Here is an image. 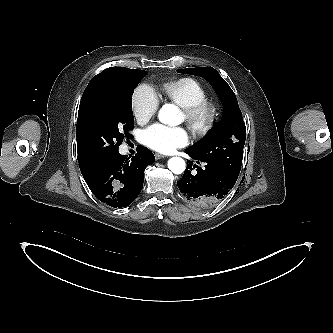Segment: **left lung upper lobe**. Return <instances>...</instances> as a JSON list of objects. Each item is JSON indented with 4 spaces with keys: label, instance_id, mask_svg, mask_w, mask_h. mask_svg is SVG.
I'll use <instances>...</instances> for the list:
<instances>
[{
    "label": "left lung upper lobe",
    "instance_id": "5c2ea615",
    "mask_svg": "<svg viewBox=\"0 0 333 333\" xmlns=\"http://www.w3.org/2000/svg\"><path fill=\"white\" fill-rule=\"evenodd\" d=\"M177 72L205 78L218 92L225 107L223 123L217 125L208 138L188 150L237 179L242 165L246 128L234 92L212 67L188 68Z\"/></svg>",
    "mask_w": 333,
    "mask_h": 333
}]
</instances>
